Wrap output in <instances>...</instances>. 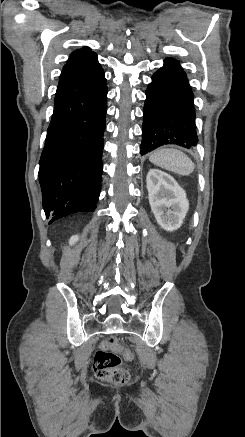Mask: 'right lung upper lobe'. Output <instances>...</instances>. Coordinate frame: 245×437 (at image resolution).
Masks as SVG:
<instances>
[{
  "mask_svg": "<svg viewBox=\"0 0 245 437\" xmlns=\"http://www.w3.org/2000/svg\"><path fill=\"white\" fill-rule=\"evenodd\" d=\"M104 80V72L97 61V54L88 47H83L74 51L63 67L55 97L87 90Z\"/></svg>",
  "mask_w": 245,
  "mask_h": 437,
  "instance_id": "1",
  "label": "right lung upper lobe"
}]
</instances>
